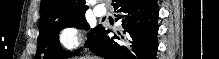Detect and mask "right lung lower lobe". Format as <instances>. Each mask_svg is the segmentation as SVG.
<instances>
[{
    "instance_id": "obj_1",
    "label": "right lung lower lobe",
    "mask_w": 219,
    "mask_h": 59,
    "mask_svg": "<svg viewBox=\"0 0 219 59\" xmlns=\"http://www.w3.org/2000/svg\"><path fill=\"white\" fill-rule=\"evenodd\" d=\"M122 22L120 31L101 27L91 51L106 59H156L157 0H112ZM114 33V36H108Z\"/></svg>"
}]
</instances>
